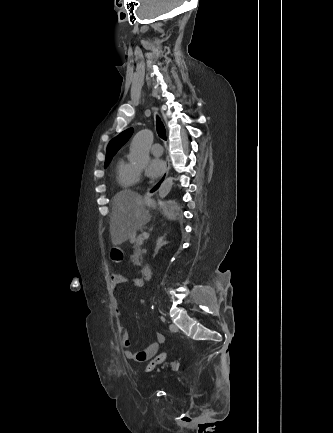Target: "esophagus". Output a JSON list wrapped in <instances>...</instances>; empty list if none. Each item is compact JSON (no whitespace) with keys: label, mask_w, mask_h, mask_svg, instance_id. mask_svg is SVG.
<instances>
[{"label":"esophagus","mask_w":333,"mask_h":433,"mask_svg":"<svg viewBox=\"0 0 333 433\" xmlns=\"http://www.w3.org/2000/svg\"><path fill=\"white\" fill-rule=\"evenodd\" d=\"M169 170H170V160L167 157V159H166V166H165V169H164L161 177L159 178V180L156 183H154L147 190V192L144 195V200L150 201L152 199V197L159 191V189L161 188L163 182L165 181V179H166V177H167V175L169 173Z\"/></svg>","instance_id":"1"}]
</instances>
